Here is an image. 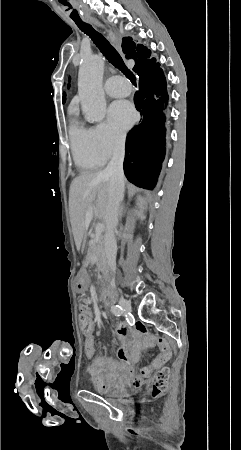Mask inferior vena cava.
Masks as SVG:
<instances>
[{
    "label": "inferior vena cava",
    "mask_w": 241,
    "mask_h": 450,
    "mask_svg": "<svg viewBox=\"0 0 241 450\" xmlns=\"http://www.w3.org/2000/svg\"><path fill=\"white\" fill-rule=\"evenodd\" d=\"M126 136H121L117 142L113 158L107 168L103 170L105 176L110 178L109 186V214L110 222L107 224L104 236V248L108 266L112 272L111 286L115 288L116 252L114 230L118 226L119 216H121L120 204L124 198V172L123 162L125 156Z\"/></svg>",
    "instance_id": "1"
}]
</instances>
